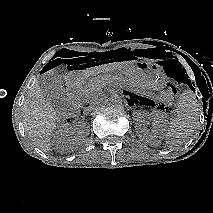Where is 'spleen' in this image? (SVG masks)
Instances as JSON below:
<instances>
[{"label": "spleen", "instance_id": "spleen-1", "mask_svg": "<svg viewBox=\"0 0 213 213\" xmlns=\"http://www.w3.org/2000/svg\"><path fill=\"white\" fill-rule=\"evenodd\" d=\"M176 105L175 117L165 136V144L169 149L183 144L195 133L202 110V105L189 88L180 95Z\"/></svg>", "mask_w": 213, "mask_h": 213}]
</instances>
